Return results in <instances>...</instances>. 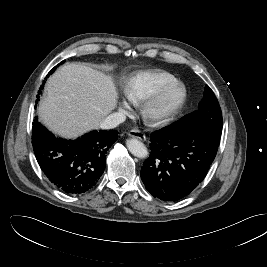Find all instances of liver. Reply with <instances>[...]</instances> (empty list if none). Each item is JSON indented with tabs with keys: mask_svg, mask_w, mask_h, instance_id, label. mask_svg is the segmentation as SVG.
Instances as JSON below:
<instances>
[{
	"mask_svg": "<svg viewBox=\"0 0 267 267\" xmlns=\"http://www.w3.org/2000/svg\"><path fill=\"white\" fill-rule=\"evenodd\" d=\"M39 116L54 133L77 137L98 129L117 106L112 79L80 63L60 67L47 81Z\"/></svg>",
	"mask_w": 267,
	"mask_h": 267,
	"instance_id": "liver-1",
	"label": "liver"
}]
</instances>
